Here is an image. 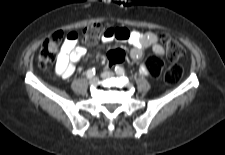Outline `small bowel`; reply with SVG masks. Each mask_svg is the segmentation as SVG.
<instances>
[{"instance_id": "small-bowel-1", "label": "small bowel", "mask_w": 225, "mask_h": 155, "mask_svg": "<svg viewBox=\"0 0 225 155\" xmlns=\"http://www.w3.org/2000/svg\"><path fill=\"white\" fill-rule=\"evenodd\" d=\"M80 40L81 33L77 29H70L61 35L62 47L55 66V71L59 76L69 78L74 74L76 64L86 53L85 48L77 45ZM114 40L128 42L131 45L130 56L134 60H141L146 49H150L155 57L164 55V48L160 45L158 36L154 32L130 31L125 27H111L102 36V41L111 42ZM144 63L146 62L142 64Z\"/></svg>"}]
</instances>
